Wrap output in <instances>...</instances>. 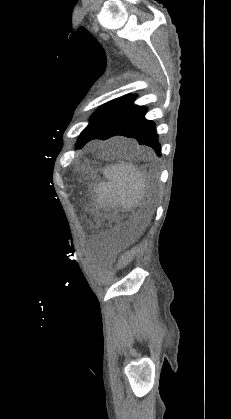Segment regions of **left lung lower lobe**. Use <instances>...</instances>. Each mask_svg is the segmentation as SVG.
I'll use <instances>...</instances> for the list:
<instances>
[{
  "label": "left lung lower lobe",
  "instance_id": "1",
  "mask_svg": "<svg viewBox=\"0 0 231 419\" xmlns=\"http://www.w3.org/2000/svg\"><path fill=\"white\" fill-rule=\"evenodd\" d=\"M136 95H131L126 101L107 114L81 141L77 148H82L93 139L106 140L113 136L135 138L139 144L150 146L157 156H160L161 145L155 124L145 119L146 107L132 104Z\"/></svg>",
  "mask_w": 231,
  "mask_h": 419
}]
</instances>
